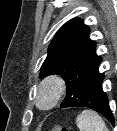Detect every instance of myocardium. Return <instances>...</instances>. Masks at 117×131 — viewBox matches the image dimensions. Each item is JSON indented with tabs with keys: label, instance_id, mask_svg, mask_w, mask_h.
Here are the masks:
<instances>
[{
	"label": "myocardium",
	"instance_id": "f54148a6",
	"mask_svg": "<svg viewBox=\"0 0 117 131\" xmlns=\"http://www.w3.org/2000/svg\"><path fill=\"white\" fill-rule=\"evenodd\" d=\"M66 91L65 81L59 76H49L39 83L34 91V104L42 111L55 107Z\"/></svg>",
	"mask_w": 117,
	"mask_h": 131
}]
</instances>
